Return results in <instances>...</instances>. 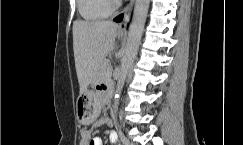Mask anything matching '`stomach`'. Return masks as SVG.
Returning a JSON list of instances; mask_svg holds the SVG:
<instances>
[{
    "label": "stomach",
    "instance_id": "1",
    "mask_svg": "<svg viewBox=\"0 0 243 145\" xmlns=\"http://www.w3.org/2000/svg\"><path fill=\"white\" fill-rule=\"evenodd\" d=\"M101 94H90L84 92L77 101V120L88 124L93 122L99 114Z\"/></svg>",
    "mask_w": 243,
    "mask_h": 145
}]
</instances>
